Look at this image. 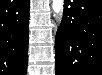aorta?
I'll use <instances>...</instances> for the list:
<instances>
[{"instance_id": "762f6f07", "label": "aorta", "mask_w": 102, "mask_h": 75, "mask_svg": "<svg viewBox=\"0 0 102 75\" xmlns=\"http://www.w3.org/2000/svg\"><path fill=\"white\" fill-rule=\"evenodd\" d=\"M63 0H52V9L57 14V20L60 21L63 12Z\"/></svg>"}]
</instances>
